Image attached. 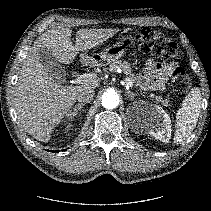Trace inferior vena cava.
I'll use <instances>...</instances> for the list:
<instances>
[{
  "label": "inferior vena cava",
  "mask_w": 211,
  "mask_h": 211,
  "mask_svg": "<svg viewBox=\"0 0 211 211\" xmlns=\"http://www.w3.org/2000/svg\"><path fill=\"white\" fill-rule=\"evenodd\" d=\"M95 91L88 87L80 91L77 95V100L81 103H88L93 100Z\"/></svg>",
  "instance_id": "602c4592"
}]
</instances>
